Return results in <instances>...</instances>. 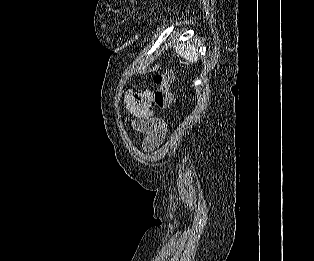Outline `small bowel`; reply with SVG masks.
Segmentation results:
<instances>
[{
  "instance_id": "c3829d8e",
  "label": "small bowel",
  "mask_w": 314,
  "mask_h": 261,
  "mask_svg": "<svg viewBox=\"0 0 314 261\" xmlns=\"http://www.w3.org/2000/svg\"><path fill=\"white\" fill-rule=\"evenodd\" d=\"M152 100L149 90L128 92L125 96L126 108L135 117L133 127L145 135L143 147L148 151L161 145L167 133L165 122L156 118L151 110Z\"/></svg>"
}]
</instances>
